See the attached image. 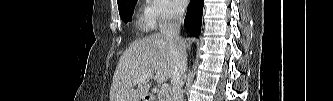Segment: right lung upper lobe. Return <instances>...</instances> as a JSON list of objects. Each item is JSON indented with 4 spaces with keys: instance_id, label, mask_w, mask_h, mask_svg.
Here are the masks:
<instances>
[{
    "instance_id": "obj_1",
    "label": "right lung upper lobe",
    "mask_w": 333,
    "mask_h": 101,
    "mask_svg": "<svg viewBox=\"0 0 333 101\" xmlns=\"http://www.w3.org/2000/svg\"><path fill=\"white\" fill-rule=\"evenodd\" d=\"M121 1H123V0H117L118 3H120Z\"/></svg>"
}]
</instances>
